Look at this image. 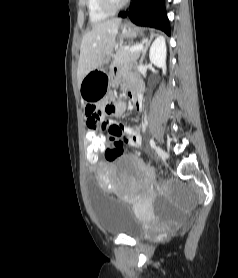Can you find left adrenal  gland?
Wrapping results in <instances>:
<instances>
[{"label":"left adrenal gland","instance_id":"left-adrenal-gland-1","mask_svg":"<svg viewBox=\"0 0 238 278\" xmlns=\"http://www.w3.org/2000/svg\"><path fill=\"white\" fill-rule=\"evenodd\" d=\"M154 36H155V34L152 33V34L150 35V38H149V39H148V38L143 39L142 43H143L144 47H143V49H142V56H141V59H140V63H143V60H144V58H145L147 49H148V47H149V45H150L152 39L154 38Z\"/></svg>","mask_w":238,"mask_h":278}]
</instances>
